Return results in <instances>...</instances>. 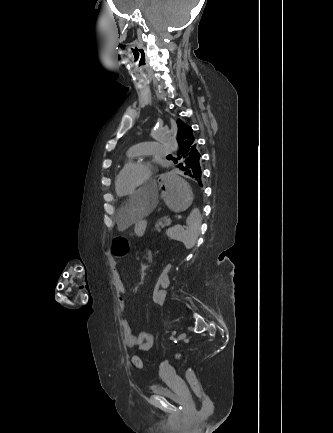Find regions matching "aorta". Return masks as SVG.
Instances as JSON below:
<instances>
[{"instance_id": "762f6f07", "label": "aorta", "mask_w": 333, "mask_h": 433, "mask_svg": "<svg viewBox=\"0 0 333 433\" xmlns=\"http://www.w3.org/2000/svg\"><path fill=\"white\" fill-rule=\"evenodd\" d=\"M152 138L159 143H166L174 151L178 150L176 139L162 127H157L151 134Z\"/></svg>"}]
</instances>
